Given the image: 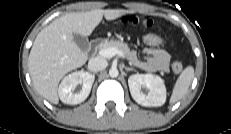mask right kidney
Listing matches in <instances>:
<instances>
[{
	"mask_svg": "<svg viewBox=\"0 0 231 134\" xmlns=\"http://www.w3.org/2000/svg\"><path fill=\"white\" fill-rule=\"evenodd\" d=\"M95 76L88 72L76 71L67 75L59 85L58 94L65 104L76 105L83 102L90 94ZM82 84V89L74 93L77 85Z\"/></svg>",
	"mask_w": 231,
	"mask_h": 134,
	"instance_id": "ca27d5eb",
	"label": "right kidney"
}]
</instances>
